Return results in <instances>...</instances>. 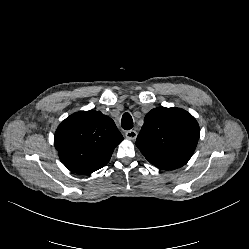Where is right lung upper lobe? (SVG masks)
<instances>
[{
	"mask_svg": "<svg viewBox=\"0 0 249 249\" xmlns=\"http://www.w3.org/2000/svg\"><path fill=\"white\" fill-rule=\"evenodd\" d=\"M123 140L114 121L100 111H80L56 130L54 145L62 163L77 174H90L105 166Z\"/></svg>",
	"mask_w": 249,
	"mask_h": 249,
	"instance_id": "obj_1",
	"label": "right lung upper lobe"
}]
</instances>
